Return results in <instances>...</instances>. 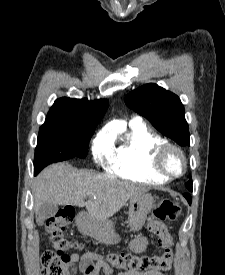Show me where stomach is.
Returning <instances> with one entry per match:
<instances>
[{
    "label": "stomach",
    "instance_id": "stomach-1",
    "mask_svg": "<svg viewBox=\"0 0 225 275\" xmlns=\"http://www.w3.org/2000/svg\"><path fill=\"white\" fill-rule=\"evenodd\" d=\"M155 200L150 194H140L130 198L128 227L131 231H139L147 219V215L154 209ZM84 232L106 245L117 244L121 238L116 233L111 222H98L90 217L82 227Z\"/></svg>",
    "mask_w": 225,
    "mask_h": 275
}]
</instances>
